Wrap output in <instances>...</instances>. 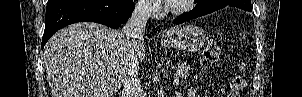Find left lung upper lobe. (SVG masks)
<instances>
[{
    "instance_id": "5c2ea615",
    "label": "left lung upper lobe",
    "mask_w": 302,
    "mask_h": 97,
    "mask_svg": "<svg viewBox=\"0 0 302 97\" xmlns=\"http://www.w3.org/2000/svg\"><path fill=\"white\" fill-rule=\"evenodd\" d=\"M217 1L222 3V4L231 3V2H238V0H217Z\"/></svg>"
}]
</instances>
